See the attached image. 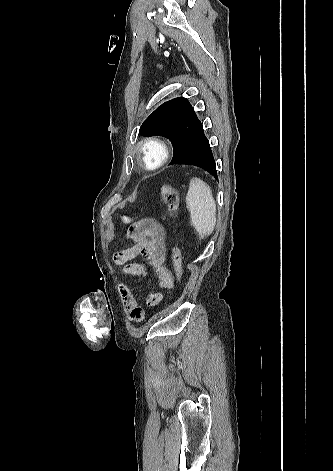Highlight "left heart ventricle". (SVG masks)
I'll use <instances>...</instances> for the list:
<instances>
[{
    "label": "left heart ventricle",
    "mask_w": 333,
    "mask_h": 471,
    "mask_svg": "<svg viewBox=\"0 0 333 471\" xmlns=\"http://www.w3.org/2000/svg\"><path fill=\"white\" fill-rule=\"evenodd\" d=\"M154 156H155V154H154V153H152V157H154Z\"/></svg>",
    "instance_id": "1"
}]
</instances>
